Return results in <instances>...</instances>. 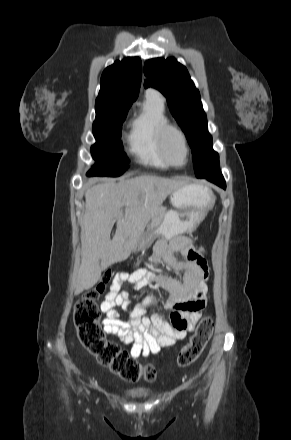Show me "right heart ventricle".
Wrapping results in <instances>:
<instances>
[{"label": "right heart ventricle", "instance_id": "right-heart-ventricle-1", "mask_svg": "<svg viewBox=\"0 0 291 440\" xmlns=\"http://www.w3.org/2000/svg\"><path fill=\"white\" fill-rule=\"evenodd\" d=\"M166 123L164 99L154 90H148L142 110L130 121L126 138L127 152L136 162L159 168L168 166L158 143V131Z\"/></svg>", "mask_w": 291, "mask_h": 440}]
</instances>
